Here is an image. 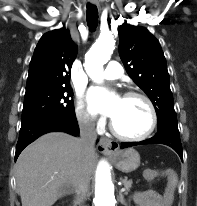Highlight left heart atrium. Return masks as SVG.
<instances>
[{
    "mask_svg": "<svg viewBox=\"0 0 197 206\" xmlns=\"http://www.w3.org/2000/svg\"><path fill=\"white\" fill-rule=\"evenodd\" d=\"M120 98L109 94L105 89L93 88L89 92V102L92 110L113 117Z\"/></svg>",
    "mask_w": 197,
    "mask_h": 206,
    "instance_id": "1",
    "label": "left heart atrium"
}]
</instances>
